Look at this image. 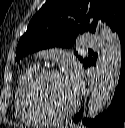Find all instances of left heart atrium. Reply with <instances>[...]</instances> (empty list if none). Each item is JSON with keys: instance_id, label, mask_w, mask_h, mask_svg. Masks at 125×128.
<instances>
[{"instance_id": "obj_1", "label": "left heart atrium", "mask_w": 125, "mask_h": 128, "mask_svg": "<svg viewBox=\"0 0 125 128\" xmlns=\"http://www.w3.org/2000/svg\"><path fill=\"white\" fill-rule=\"evenodd\" d=\"M63 76L70 91L76 97L83 85V79L80 69L76 66H72L66 71Z\"/></svg>"}]
</instances>
